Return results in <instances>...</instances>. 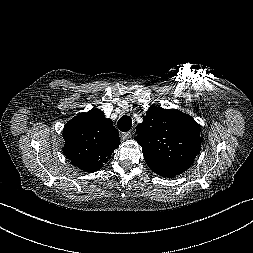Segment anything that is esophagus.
<instances>
[{
	"mask_svg": "<svg viewBox=\"0 0 253 253\" xmlns=\"http://www.w3.org/2000/svg\"><path fill=\"white\" fill-rule=\"evenodd\" d=\"M132 137V132H126L122 134L123 139H129Z\"/></svg>",
	"mask_w": 253,
	"mask_h": 253,
	"instance_id": "esophagus-1",
	"label": "esophagus"
}]
</instances>
